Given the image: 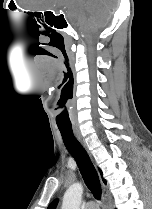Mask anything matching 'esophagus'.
Returning <instances> with one entry per match:
<instances>
[{
    "mask_svg": "<svg viewBox=\"0 0 152 209\" xmlns=\"http://www.w3.org/2000/svg\"><path fill=\"white\" fill-rule=\"evenodd\" d=\"M73 131H74L75 136L77 137L78 141L82 144V146H83L85 149H87L86 143H85V141H84V139H83V137H82V135H81L79 129H78L77 127H74V128H73Z\"/></svg>",
    "mask_w": 152,
    "mask_h": 209,
    "instance_id": "1",
    "label": "esophagus"
}]
</instances>
